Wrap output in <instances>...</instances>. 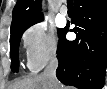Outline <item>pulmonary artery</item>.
I'll use <instances>...</instances> for the list:
<instances>
[{"instance_id":"1","label":"pulmonary artery","mask_w":107,"mask_h":89,"mask_svg":"<svg viewBox=\"0 0 107 89\" xmlns=\"http://www.w3.org/2000/svg\"><path fill=\"white\" fill-rule=\"evenodd\" d=\"M60 13H61L62 15H67V14H68V8H67L65 5H62V6L60 7Z\"/></svg>"}]
</instances>
